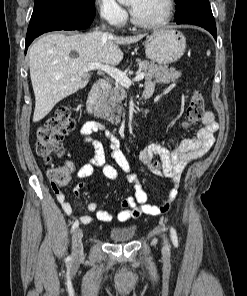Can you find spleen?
<instances>
[{
  "mask_svg": "<svg viewBox=\"0 0 247 296\" xmlns=\"http://www.w3.org/2000/svg\"><path fill=\"white\" fill-rule=\"evenodd\" d=\"M207 55H210V51L207 52Z\"/></svg>",
  "mask_w": 247,
  "mask_h": 296,
  "instance_id": "3e777b00",
  "label": "spleen"
}]
</instances>
